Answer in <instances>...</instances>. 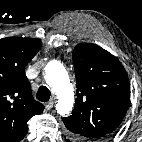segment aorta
Listing matches in <instances>:
<instances>
[{"label":"aorta","mask_w":142,"mask_h":142,"mask_svg":"<svg viewBox=\"0 0 142 142\" xmlns=\"http://www.w3.org/2000/svg\"><path fill=\"white\" fill-rule=\"evenodd\" d=\"M46 83L57 95V113L64 116L69 114L74 104V92L67 70L59 61H51L45 68Z\"/></svg>","instance_id":"obj_1"}]
</instances>
